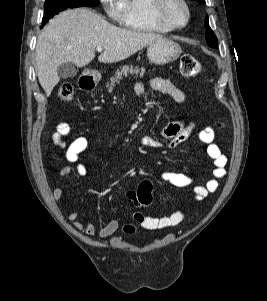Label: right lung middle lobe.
I'll use <instances>...</instances> for the list:
<instances>
[{
  "label": "right lung middle lobe",
  "instance_id": "right-lung-middle-lobe-1",
  "mask_svg": "<svg viewBox=\"0 0 267 301\" xmlns=\"http://www.w3.org/2000/svg\"><path fill=\"white\" fill-rule=\"evenodd\" d=\"M99 4V0H46L44 4V16L42 26L46 24L50 18L59 14V12L71 8L93 7Z\"/></svg>",
  "mask_w": 267,
  "mask_h": 301
}]
</instances>
